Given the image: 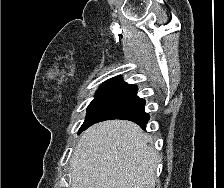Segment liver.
<instances>
[{
  "instance_id": "liver-1",
  "label": "liver",
  "mask_w": 224,
  "mask_h": 188,
  "mask_svg": "<svg viewBox=\"0 0 224 188\" xmlns=\"http://www.w3.org/2000/svg\"><path fill=\"white\" fill-rule=\"evenodd\" d=\"M150 141L130 121L91 126L70 159L71 188H154L158 155Z\"/></svg>"
}]
</instances>
